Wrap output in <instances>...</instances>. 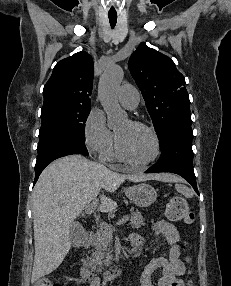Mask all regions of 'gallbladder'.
<instances>
[{
	"mask_svg": "<svg viewBox=\"0 0 231 286\" xmlns=\"http://www.w3.org/2000/svg\"><path fill=\"white\" fill-rule=\"evenodd\" d=\"M70 230H72V234H82L84 232V229L82 228L80 222H73L70 227Z\"/></svg>",
	"mask_w": 231,
	"mask_h": 286,
	"instance_id": "1",
	"label": "gallbladder"
}]
</instances>
